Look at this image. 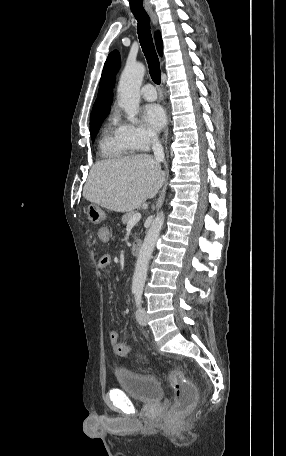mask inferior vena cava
Masks as SVG:
<instances>
[{"label": "inferior vena cava", "mask_w": 286, "mask_h": 456, "mask_svg": "<svg viewBox=\"0 0 286 456\" xmlns=\"http://www.w3.org/2000/svg\"><path fill=\"white\" fill-rule=\"evenodd\" d=\"M151 141H152V150L154 152L155 159L158 162L163 161L164 149H163L158 137L155 134L151 135Z\"/></svg>", "instance_id": "602c4592"}]
</instances>
